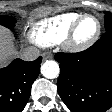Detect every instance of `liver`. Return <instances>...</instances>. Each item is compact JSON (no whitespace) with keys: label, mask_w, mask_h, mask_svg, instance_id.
<instances>
[{"label":"liver","mask_w":112,"mask_h":112,"mask_svg":"<svg viewBox=\"0 0 112 112\" xmlns=\"http://www.w3.org/2000/svg\"><path fill=\"white\" fill-rule=\"evenodd\" d=\"M16 54L11 32L7 28L0 26V67L14 58Z\"/></svg>","instance_id":"6515ba94"}]
</instances>
